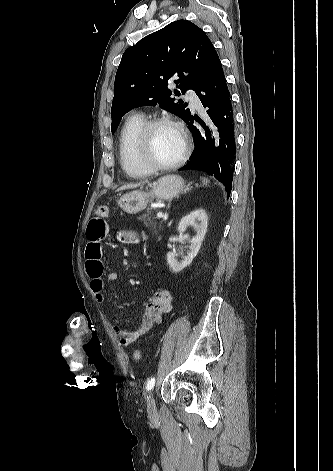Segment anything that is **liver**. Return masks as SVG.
Returning a JSON list of instances; mask_svg holds the SVG:
<instances>
[{"label": "liver", "mask_w": 333, "mask_h": 471, "mask_svg": "<svg viewBox=\"0 0 333 471\" xmlns=\"http://www.w3.org/2000/svg\"><path fill=\"white\" fill-rule=\"evenodd\" d=\"M141 185H142V183L128 184V185H124V186L120 187L119 190L133 189V188H136V187L141 186Z\"/></svg>", "instance_id": "liver-1"}]
</instances>
